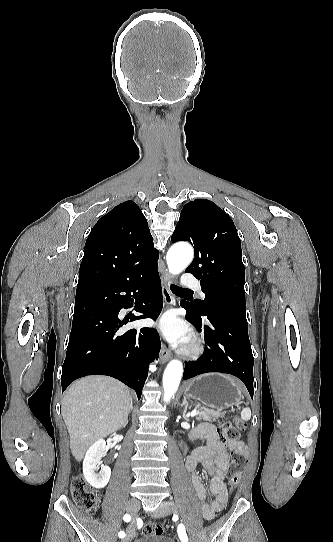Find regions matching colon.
Wrapping results in <instances>:
<instances>
[{
    "mask_svg": "<svg viewBox=\"0 0 333 542\" xmlns=\"http://www.w3.org/2000/svg\"><path fill=\"white\" fill-rule=\"evenodd\" d=\"M245 424L242 421L236 422H221L216 429V437L220 439L222 443H232L240 439L241 435L245 431ZM231 458L233 461V468L229 475L230 487L238 485L243 468L246 465L247 458L242 449H233L231 451ZM72 496L75 504L89 513H94L99 505V499L97 492L90 487L82 478H75L72 480ZM225 496L228 495L227 491H224ZM162 534V527L158 523L149 522L145 524L143 529V535L146 537H158Z\"/></svg>",
    "mask_w": 333,
    "mask_h": 542,
    "instance_id": "5ec220e1",
    "label": "colon"
}]
</instances>
